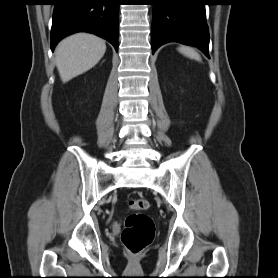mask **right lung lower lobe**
Returning <instances> with one entry per match:
<instances>
[{
  "label": "right lung lower lobe",
  "mask_w": 278,
  "mask_h": 278,
  "mask_svg": "<svg viewBox=\"0 0 278 278\" xmlns=\"http://www.w3.org/2000/svg\"><path fill=\"white\" fill-rule=\"evenodd\" d=\"M50 46L75 32L85 31L108 40L118 51L119 0H55Z\"/></svg>",
  "instance_id": "right-lung-lower-lobe-1"
}]
</instances>
